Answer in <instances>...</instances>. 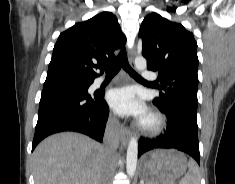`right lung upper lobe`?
Segmentation results:
<instances>
[{
    "mask_svg": "<svg viewBox=\"0 0 235 184\" xmlns=\"http://www.w3.org/2000/svg\"><path fill=\"white\" fill-rule=\"evenodd\" d=\"M117 18L111 12L76 23L60 34L49 64L47 78L94 80L102 64L111 62L114 51L125 43Z\"/></svg>",
    "mask_w": 235,
    "mask_h": 184,
    "instance_id": "cb5924a9",
    "label": "right lung upper lobe"
}]
</instances>
